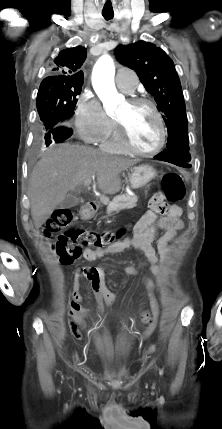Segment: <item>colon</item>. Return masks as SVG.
I'll return each mask as SVG.
<instances>
[{"label":"colon","mask_w":222,"mask_h":429,"mask_svg":"<svg viewBox=\"0 0 222 429\" xmlns=\"http://www.w3.org/2000/svg\"><path fill=\"white\" fill-rule=\"evenodd\" d=\"M163 198L170 202H179L185 196V186L182 177L176 172H168L163 177ZM73 221V214L69 210L57 211L47 222L46 236H52L65 229L53 244V249L63 264H71L78 259L86 249H98L106 247L121 236L123 231L95 232L77 228L66 229ZM155 311H147L142 315V322L150 324L153 321Z\"/></svg>","instance_id":"colon-1"}]
</instances>
